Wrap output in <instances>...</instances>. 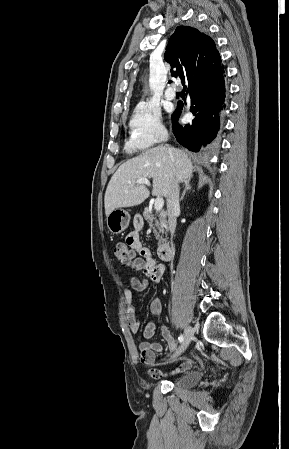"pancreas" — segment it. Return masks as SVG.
I'll use <instances>...</instances> for the list:
<instances>
[{"instance_id": "1", "label": "pancreas", "mask_w": 289, "mask_h": 449, "mask_svg": "<svg viewBox=\"0 0 289 449\" xmlns=\"http://www.w3.org/2000/svg\"><path fill=\"white\" fill-rule=\"evenodd\" d=\"M143 216L145 220L149 223V225L153 226V232L159 244L164 243L166 239H164L162 235L166 234L168 231L166 212L159 210L156 211V214L154 215L153 212L146 207L144 209Z\"/></svg>"}]
</instances>
